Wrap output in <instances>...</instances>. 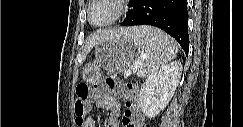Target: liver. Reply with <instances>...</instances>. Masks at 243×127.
Returning a JSON list of instances; mask_svg holds the SVG:
<instances>
[{
  "instance_id": "1",
  "label": "liver",
  "mask_w": 243,
  "mask_h": 127,
  "mask_svg": "<svg viewBox=\"0 0 243 127\" xmlns=\"http://www.w3.org/2000/svg\"><path fill=\"white\" fill-rule=\"evenodd\" d=\"M136 28H120L98 31L91 34L85 44V52L88 53L95 45L108 39H113L122 35H132Z\"/></svg>"
}]
</instances>
